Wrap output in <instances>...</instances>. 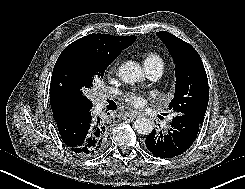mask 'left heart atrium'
Segmentation results:
<instances>
[{"label":"left heart atrium","instance_id":"left-heart-atrium-1","mask_svg":"<svg viewBox=\"0 0 245 189\" xmlns=\"http://www.w3.org/2000/svg\"><path fill=\"white\" fill-rule=\"evenodd\" d=\"M125 101L134 107H141L145 104L146 99L142 92L138 90H132L124 95Z\"/></svg>","mask_w":245,"mask_h":189}]
</instances>
